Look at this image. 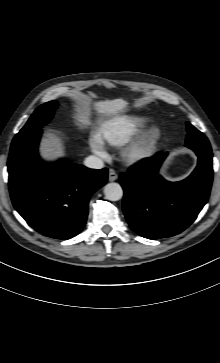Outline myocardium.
Segmentation results:
<instances>
[{"label":"myocardium","instance_id":"f54148a6","mask_svg":"<svg viewBox=\"0 0 220 363\" xmlns=\"http://www.w3.org/2000/svg\"><path fill=\"white\" fill-rule=\"evenodd\" d=\"M161 138L158 128H151L138 135L122 151L124 161L130 165H138L148 161L154 154Z\"/></svg>","mask_w":220,"mask_h":363}]
</instances>
